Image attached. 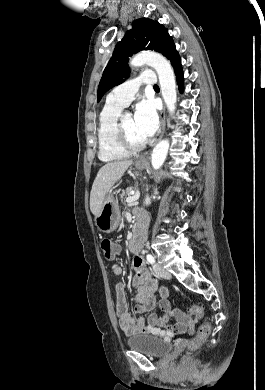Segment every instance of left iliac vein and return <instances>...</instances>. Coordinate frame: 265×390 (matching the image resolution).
<instances>
[{"label":"left iliac vein","instance_id":"left-iliac-vein-1","mask_svg":"<svg viewBox=\"0 0 265 390\" xmlns=\"http://www.w3.org/2000/svg\"><path fill=\"white\" fill-rule=\"evenodd\" d=\"M153 271L155 272V274L161 278H164V279H170L171 278V274L169 271H167L166 269H164L162 266H160L159 264L155 263L153 264Z\"/></svg>","mask_w":265,"mask_h":390}]
</instances>
